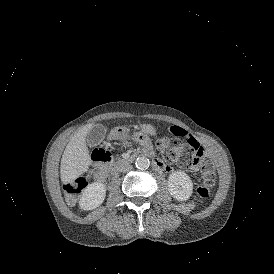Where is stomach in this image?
Returning a JSON list of instances; mask_svg holds the SVG:
<instances>
[{
	"instance_id": "1",
	"label": "stomach",
	"mask_w": 274,
	"mask_h": 274,
	"mask_svg": "<svg viewBox=\"0 0 274 274\" xmlns=\"http://www.w3.org/2000/svg\"><path fill=\"white\" fill-rule=\"evenodd\" d=\"M142 129L146 132H149V133H153V127L151 125H144L142 127ZM128 133V130L125 129V128H115L112 130V132L110 133V138H121V137H124L125 135H127Z\"/></svg>"
}]
</instances>
